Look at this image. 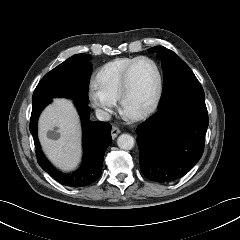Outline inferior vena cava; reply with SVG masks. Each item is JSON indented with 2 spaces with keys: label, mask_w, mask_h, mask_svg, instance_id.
Listing matches in <instances>:
<instances>
[{
  "label": "inferior vena cava",
  "mask_w": 240,
  "mask_h": 240,
  "mask_svg": "<svg viewBox=\"0 0 240 240\" xmlns=\"http://www.w3.org/2000/svg\"><path fill=\"white\" fill-rule=\"evenodd\" d=\"M97 119L100 121H108L111 119L110 113L102 109H96L95 111Z\"/></svg>",
  "instance_id": "obj_1"
}]
</instances>
